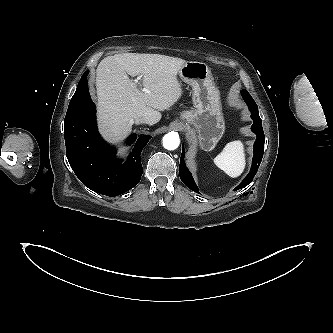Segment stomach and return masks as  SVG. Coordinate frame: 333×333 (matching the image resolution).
Returning a JSON list of instances; mask_svg holds the SVG:
<instances>
[{
    "label": "stomach",
    "mask_w": 333,
    "mask_h": 333,
    "mask_svg": "<svg viewBox=\"0 0 333 333\" xmlns=\"http://www.w3.org/2000/svg\"><path fill=\"white\" fill-rule=\"evenodd\" d=\"M178 74L182 81L192 87L195 107L182 112L180 119L196 131L200 147L211 151L225 131L220 93L215 86L211 69L203 62L187 61Z\"/></svg>",
    "instance_id": "obj_1"
}]
</instances>
